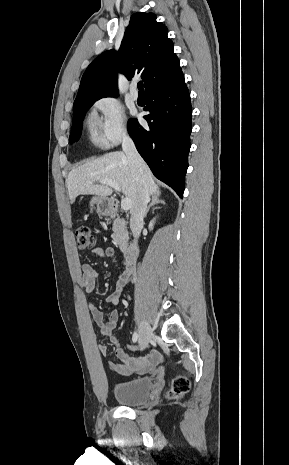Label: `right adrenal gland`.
<instances>
[{
	"label": "right adrenal gland",
	"mask_w": 289,
	"mask_h": 465,
	"mask_svg": "<svg viewBox=\"0 0 289 465\" xmlns=\"http://www.w3.org/2000/svg\"><path fill=\"white\" fill-rule=\"evenodd\" d=\"M158 204L165 205L166 203H165L164 200H160V199L158 198V196H152V200H151V203H150V205L148 206V208H147V210H146L145 217L147 216V214H148L150 208H154V209H155V208H157L156 206H157Z\"/></svg>",
	"instance_id": "2a0ac1e0"
}]
</instances>
